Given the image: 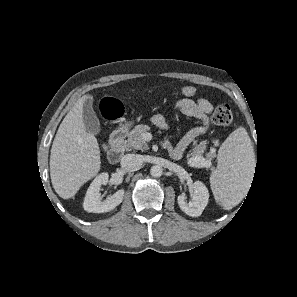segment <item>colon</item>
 <instances>
[{
	"label": "colon",
	"instance_id": "colon-1",
	"mask_svg": "<svg viewBox=\"0 0 297 297\" xmlns=\"http://www.w3.org/2000/svg\"><path fill=\"white\" fill-rule=\"evenodd\" d=\"M197 93V88L185 86L181 89L182 96L193 97ZM99 113L105 121H112L120 118L123 114L122 104L113 97H105L99 103ZM233 118L231 107L228 104L218 105L213 113V121L217 125H228Z\"/></svg>",
	"mask_w": 297,
	"mask_h": 297
}]
</instances>
